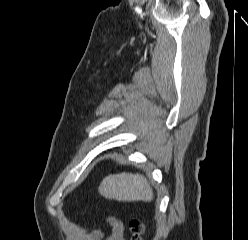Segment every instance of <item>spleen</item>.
Instances as JSON below:
<instances>
[{
  "label": "spleen",
  "instance_id": "obj_1",
  "mask_svg": "<svg viewBox=\"0 0 248 240\" xmlns=\"http://www.w3.org/2000/svg\"><path fill=\"white\" fill-rule=\"evenodd\" d=\"M99 192L105 198L124 202H150L154 197L143 175L125 172L105 177L99 187Z\"/></svg>",
  "mask_w": 248,
  "mask_h": 240
}]
</instances>
